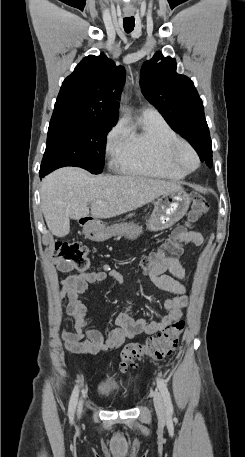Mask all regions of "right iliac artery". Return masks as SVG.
<instances>
[{
    "label": "right iliac artery",
    "instance_id": "82829eb1",
    "mask_svg": "<svg viewBox=\"0 0 245 457\" xmlns=\"http://www.w3.org/2000/svg\"><path fill=\"white\" fill-rule=\"evenodd\" d=\"M78 393H79L78 386H75L73 393L71 395V398H70L69 409H68L69 414L74 413V410H75L76 404H77Z\"/></svg>",
    "mask_w": 245,
    "mask_h": 457
}]
</instances>
